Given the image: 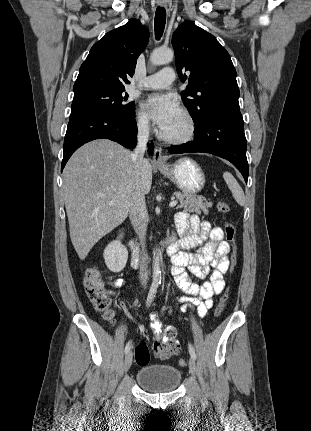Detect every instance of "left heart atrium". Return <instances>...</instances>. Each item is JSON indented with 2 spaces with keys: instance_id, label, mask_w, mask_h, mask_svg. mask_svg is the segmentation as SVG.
Wrapping results in <instances>:
<instances>
[{
  "instance_id": "obj_1",
  "label": "left heart atrium",
  "mask_w": 311,
  "mask_h": 431,
  "mask_svg": "<svg viewBox=\"0 0 311 431\" xmlns=\"http://www.w3.org/2000/svg\"><path fill=\"white\" fill-rule=\"evenodd\" d=\"M145 105L162 133L181 113L180 104L172 95L160 94L150 96Z\"/></svg>"
}]
</instances>
